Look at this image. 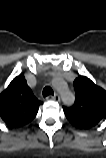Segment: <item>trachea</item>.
<instances>
[{
	"label": "trachea",
	"instance_id": "trachea-1",
	"mask_svg": "<svg viewBox=\"0 0 106 158\" xmlns=\"http://www.w3.org/2000/svg\"><path fill=\"white\" fill-rule=\"evenodd\" d=\"M42 94H43V97H47V96H49V95H54V91L52 90L51 87L46 86V87L43 89Z\"/></svg>",
	"mask_w": 106,
	"mask_h": 158
}]
</instances>
